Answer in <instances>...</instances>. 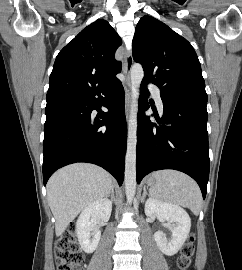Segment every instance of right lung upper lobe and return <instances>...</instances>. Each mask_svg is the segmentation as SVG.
I'll return each mask as SVG.
<instances>
[{
	"label": "right lung upper lobe",
	"mask_w": 242,
	"mask_h": 270,
	"mask_svg": "<svg viewBox=\"0 0 242 270\" xmlns=\"http://www.w3.org/2000/svg\"><path fill=\"white\" fill-rule=\"evenodd\" d=\"M121 44L106 20L99 19L83 29L56 57L47 105L92 93L116 81L121 62L114 55Z\"/></svg>",
	"instance_id": "obj_1"
}]
</instances>
